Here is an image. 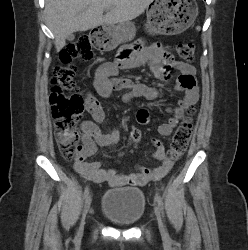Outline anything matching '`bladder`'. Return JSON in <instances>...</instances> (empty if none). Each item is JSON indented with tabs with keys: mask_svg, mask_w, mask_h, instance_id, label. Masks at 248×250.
I'll use <instances>...</instances> for the list:
<instances>
[{
	"mask_svg": "<svg viewBox=\"0 0 248 250\" xmlns=\"http://www.w3.org/2000/svg\"><path fill=\"white\" fill-rule=\"evenodd\" d=\"M100 208L112 222L130 226L138 222L145 213V195L137 187L113 188L103 194Z\"/></svg>",
	"mask_w": 248,
	"mask_h": 250,
	"instance_id": "31cf9c89",
	"label": "bladder"
}]
</instances>
